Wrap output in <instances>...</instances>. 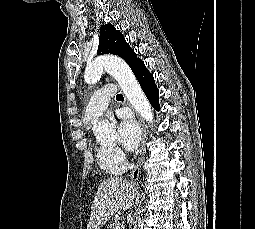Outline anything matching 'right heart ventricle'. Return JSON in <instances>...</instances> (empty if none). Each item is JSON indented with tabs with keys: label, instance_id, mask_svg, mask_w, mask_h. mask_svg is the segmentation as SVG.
Instances as JSON below:
<instances>
[{
	"label": "right heart ventricle",
	"instance_id": "1",
	"mask_svg": "<svg viewBox=\"0 0 255 229\" xmlns=\"http://www.w3.org/2000/svg\"><path fill=\"white\" fill-rule=\"evenodd\" d=\"M90 126L92 123H88ZM96 160L100 168L110 175H120L125 172L127 163L124 159L117 158L113 152V148L104 144H96L95 147Z\"/></svg>",
	"mask_w": 255,
	"mask_h": 229
}]
</instances>
